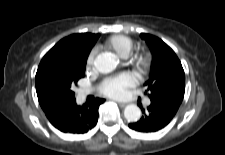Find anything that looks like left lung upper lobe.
Listing matches in <instances>:
<instances>
[{
	"label": "left lung upper lobe",
	"instance_id": "1",
	"mask_svg": "<svg viewBox=\"0 0 225 155\" xmlns=\"http://www.w3.org/2000/svg\"><path fill=\"white\" fill-rule=\"evenodd\" d=\"M141 38L148 43L153 55L150 78L145 83L150 99L181 103L185 92V74L175 52L153 35L142 33Z\"/></svg>",
	"mask_w": 225,
	"mask_h": 155
}]
</instances>
